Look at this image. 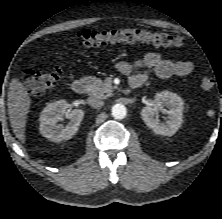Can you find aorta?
Returning a JSON list of instances; mask_svg holds the SVG:
<instances>
[{
  "label": "aorta",
  "instance_id": "obj_1",
  "mask_svg": "<svg viewBox=\"0 0 222 219\" xmlns=\"http://www.w3.org/2000/svg\"><path fill=\"white\" fill-rule=\"evenodd\" d=\"M111 112H112V116L118 120L125 118L127 114L126 107L123 104H115L112 107Z\"/></svg>",
  "mask_w": 222,
  "mask_h": 219
}]
</instances>
